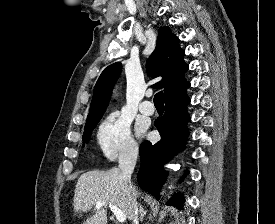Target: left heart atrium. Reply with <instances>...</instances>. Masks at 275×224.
Returning <instances> with one entry per match:
<instances>
[{
    "label": "left heart atrium",
    "instance_id": "1",
    "mask_svg": "<svg viewBox=\"0 0 275 224\" xmlns=\"http://www.w3.org/2000/svg\"><path fill=\"white\" fill-rule=\"evenodd\" d=\"M143 130H142V128H139V132H142Z\"/></svg>",
    "mask_w": 275,
    "mask_h": 224
}]
</instances>
